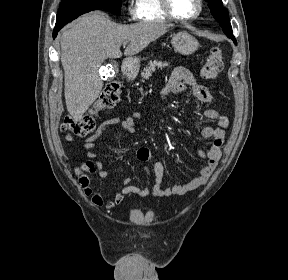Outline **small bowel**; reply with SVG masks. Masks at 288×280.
<instances>
[{"label": "small bowel", "mask_w": 288, "mask_h": 280, "mask_svg": "<svg viewBox=\"0 0 288 280\" xmlns=\"http://www.w3.org/2000/svg\"><path fill=\"white\" fill-rule=\"evenodd\" d=\"M190 86L192 94L202 103L206 105L203 116L206 119L215 121L217 126L206 125L201 130L203 138L212 139L211 144L207 150H199V156L205 159L204 166L200 169L198 175L183 184L176 185L169 188L162 187V180L164 176V166L159 160H154L150 150L146 147L139 148L137 151V158L143 162H153L152 171L154 174V182L148 181V184L141 188L132 184V179L128 176L122 179L123 186L110 198L104 199L100 191H93L91 185L84 186V194L91 196V201L94 206L100 207L105 205L109 210L120 205L125 197L129 195H136L138 197L153 196L157 198L170 197L176 195H184L207 183L218 161L221 157V146L225 136V130L229 126V119L220 115L212 106L215 103L213 96L207 87L198 83L194 75L184 67H176L167 83L162 88L161 95L166 98L170 93H178ZM141 118L140 112H134L126 118L114 117L103 121L96 129V131L89 136L84 143L86 156L90 159L97 157L94 148L97 139L108 129L118 126L128 133L135 131V126ZM95 165L99 169V177L106 179L110 177V173L104 168L100 161H95ZM149 174V169L145 168Z\"/></svg>", "instance_id": "small-bowel-1"}]
</instances>
